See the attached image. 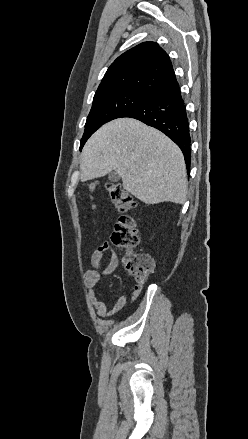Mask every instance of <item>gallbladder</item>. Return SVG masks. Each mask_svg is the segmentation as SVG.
<instances>
[{"label": "gallbladder", "instance_id": "1", "mask_svg": "<svg viewBox=\"0 0 248 439\" xmlns=\"http://www.w3.org/2000/svg\"><path fill=\"white\" fill-rule=\"evenodd\" d=\"M108 179L111 182H118L120 180V175L117 172L113 171L109 173Z\"/></svg>", "mask_w": 248, "mask_h": 439}]
</instances>
